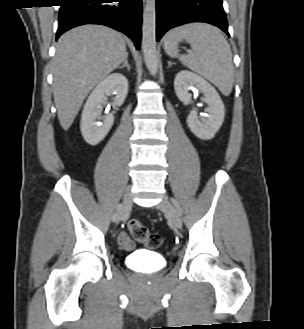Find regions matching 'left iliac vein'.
<instances>
[{
	"label": "left iliac vein",
	"instance_id": "1",
	"mask_svg": "<svg viewBox=\"0 0 304 329\" xmlns=\"http://www.w3.org/2000/svg\"><path fill=\"white\" fill-rule=\"evenodd\" d=\"M157 208L168 215L170 221L176 228L180 229L182 227L181 216L173 207L167 196L163 197L162 201L157 205Z\"/></svg>",
	"mask_w": 304,
	"mask_h": 329
}]
</instances>
